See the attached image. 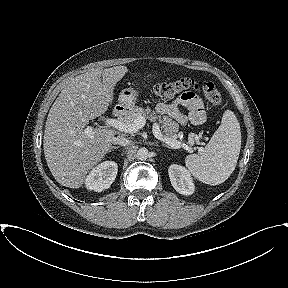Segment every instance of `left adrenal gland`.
<instances>
[{"instance_id": "1", "label": "left adrenal gland", "mask_w": 288, "mask_h": 288, "mask_svg": "<svg viewBox=\"0 0 288 288\" xmlns=\"http://www.w3.org/2000/svg\"><path fill=\"white\" fill-rule=\"evenodd\" d=\"M163 146H164V147H167V148H171L170 146H168V145H166V144H163Z\"/></svg>"}]
</instances>
